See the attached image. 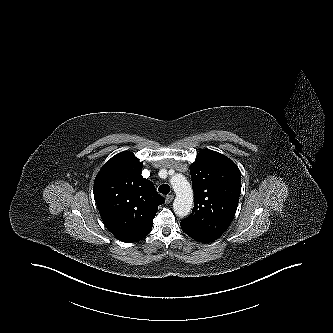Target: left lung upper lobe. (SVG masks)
<instances>
[{"instance_id": "5c2ea615", "label": "left lung upper lobe", "mask_w": 333, "mask_h": 333, "mask_svg": "<svg viewBox=\"0 0 333 333\" xmlns=\"http://www.w3.org/2000/svg\"><path fill=\"white\" fill-rule=\"evenodd\" d=\"M194 208L181 225L213 239L229 227L241 192V173L228 157L203 150L190 165Z\"/></svg>"}]
</instances>
